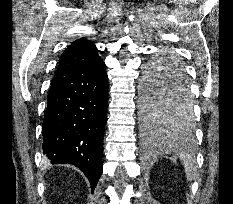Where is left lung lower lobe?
<instances>
[{
    "instance_id": "0a47b994",
    "label": "left lung lower lobe",
    "mask_w": 233,
    "mask_h": 204,
    "mask_svg": "<svg viewBox=\"0 0 233 204\" xmlns=\"http://www.w3.org/2000/svg\"><path fill=\"white\" fill-rule=\"evenodd\" d=\"M166 77L167 78L159 80L158 82H160V84L162 86H165L166 88H168L170 90H174L175 87L178 84H182L184 82L188 83L187 78H186L184 73L175 74L172 71H170V72H168L166 74ZM144 130L147 133H153V132H159V131H161V132L177 131V130H174V129H168V128H164V127H157V126L149 125V124L148 125L144 124Z\"/></svg>"
}]
</instances>
